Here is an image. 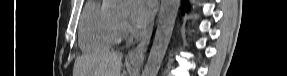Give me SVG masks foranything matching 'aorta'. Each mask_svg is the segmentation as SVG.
I'll use <instances>...</instances> for the list:
<instances>
[{
    "label": "aorta",
    "mask_w": 287,
    "mask_h": 76,
    "mask_svg": "<svg viewBox=\"0 0 287 76\" xmlns=\"http://www.w3.org/2000/svg\"><path fill=\"white\" fill-rule=\"evenodd\" d=\"M180 0H161L158 25L142 76H157L173 33Z\"/></svg>",
    "instance_id": "aorta-1"
}]
</instances>
